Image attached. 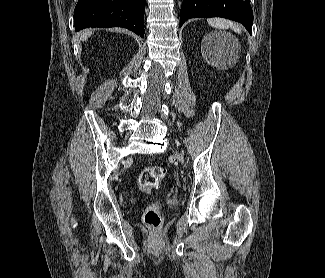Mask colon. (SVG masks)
Here are the masks:
<instances>
[{
    "instance_id": "5ec220e1",
    "label": "colon",
    "mask_w": 325,
    "mask_h": 278,
    "mask_svg": "<svg viewBox=\"0 0 325 278\" xmlns=\"http://www.w3.org/2000/svg\"><path fill=\"white\" fill-rule=\"evenodd\" d=\"M166 169L161 166L147 167L140 173L139 185L143 190H151L165 178ZM144 223L152 231H158L162 223V216L157 205L148 207L143 216Z\"/></svg>"
}]
</instances>
